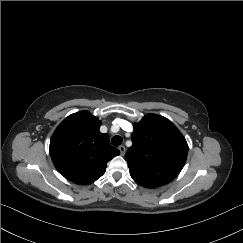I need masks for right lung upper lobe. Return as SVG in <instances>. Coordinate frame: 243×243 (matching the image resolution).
<instances>
[{"mask_svg": "<svg viewBox=\"0 0 243 243\" xmlns=\"http://www.w3.org/2000/svg\"><path fill=\"white\" fill-rule=\"evenodd\" d=\"M101 121L88 111L65 118L50 141V155L56 169L68 180L89 185L106 171L107 162L120 154L109 136L100 133Z\"/></svg>", "mask_w": 243, "mask_h": 243, "instance_id": "right-lung-upper-lobe-1", "label": "right lung upper lobe"}]
</instances>
